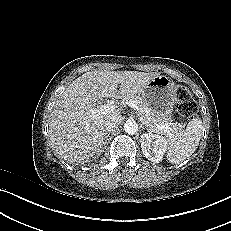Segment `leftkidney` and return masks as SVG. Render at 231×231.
I'll return each instance as SVG.
<instances>
[{
  "mask_svg": "<svg viewBox=\"0 0 231 231\" xmlns=\"http://www.w3.org/2000/svg\"><path fill=\"white\" fill-rule=\"evenodd\" d=\"M140 142L142 152L148 160L154 163L162 161L167 144V140L164 137L149 132L141 135Z\"/></svg>",
  "mask_w": 231,
  "mask_h": 231,
  "instance_id": "1",
  "label": "left kidney"
}]
</instances>
